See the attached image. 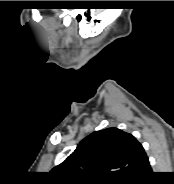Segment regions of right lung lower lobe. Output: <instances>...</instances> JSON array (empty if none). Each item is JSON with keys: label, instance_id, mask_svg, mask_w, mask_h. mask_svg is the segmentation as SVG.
Instances as JSON below:
<instances>
[{"label": "right lung lower lobe", "instance_id": "obj_1", "mask_svg": "<svg viewBox=\"0 0 174 184\" xmlns=\"http://www.w3.org/2000/svg\"><path fill=\"white\" fill-rule=\"evenodd\" d=\"M151 174V167L147 160L131 179L120 182V184H146Z\"/></svg>", "mask_w": 174, "mask_h": 184}]
</instances>
